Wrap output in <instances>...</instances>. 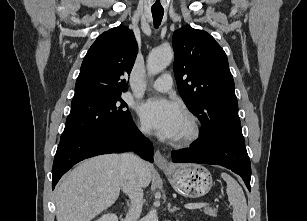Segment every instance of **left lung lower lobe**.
Instances as JSON below:
<instances>
[{"instance_id":"obj_1","label":"left lung lower lobe","mask_w":307,"mask_h":221,"mask_svg":"<svg viewBox=\"0 0 307 221\" xmlns=\"http://www.w3.org/2000/svg\"><path fill=\"white\" fill-rule=\"evenodd\" d=\"M175 163L221 165L240 175L249 191L251 163L244 144L222 136L200 137L192 147L172 151Z\"/></svg>"}]
</instances>
